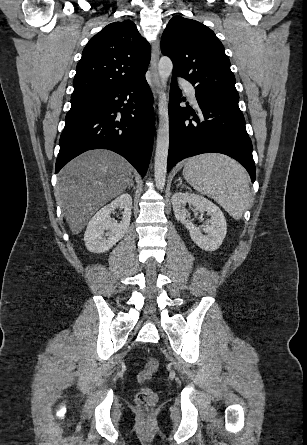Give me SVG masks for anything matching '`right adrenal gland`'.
I'll use <instances>...</instances> for the list:
<instances>
[{
	"label": "right adrenal gland",
	"mask_w": 307,
	"mask_h": 445,
	"mask_svg": "<svg viewBox=\"0 0 307 445\" xmlns=\"http://www.w3.org/2000/svg\"><path fill=\"white\" fill-rule=\"evenodd\" d=\"M130 186H133V188H135L133 176H131L130 184H129V186H127V188H130Z\"/></svg>",
	"instance_id": "1"
}]
</instances>
